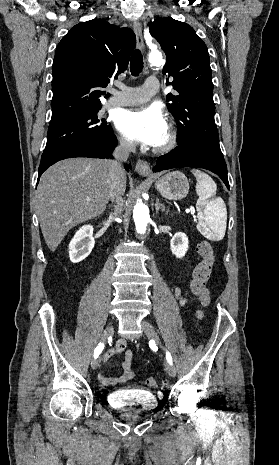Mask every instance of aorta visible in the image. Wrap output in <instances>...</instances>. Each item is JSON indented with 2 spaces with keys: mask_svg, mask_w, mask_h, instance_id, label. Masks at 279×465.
Wrapping results in <instances>:
<instances>
[{
  "mask_svg": "<svg viewBox=\"0 0 279 465\" xmlns=\"http://www.w3.org/2000/svg\"><path fill=\"white\" fill-rule=\"evenodd\" d=\"M149 59L152 64H159L163 62L162 56L159 52L152 53ZM133 218L137 232L139 234H144L150 220L148 206L143 204L141 201L137 202L134 206Z\"/></svg>",
  "mask_w": 279,
  "mask_h": 465,
  "instance_id": "aorta-1",
  "label": "aorta"
}]
</instances>
